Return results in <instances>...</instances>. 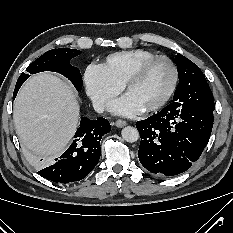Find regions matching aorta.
I'll use <instances>...</instances> for the list:
<instances>
[{
    "mask_svg": "<svg viewBox=\"0 0 233 233\" xmlns=\"http://www.w3.org/2000/svg\"><path fill=\"white\" fill-rule=\"evenodd\" d=\"M122 138L127 142H136L139 139V132L136 128L127 126L122 129Z\"/></svg>",
    "mask_w": 233,
    "mask_h": 233,
    "instance_id": "762f6f07",
    "label": "aorta"
}]
</instances>
